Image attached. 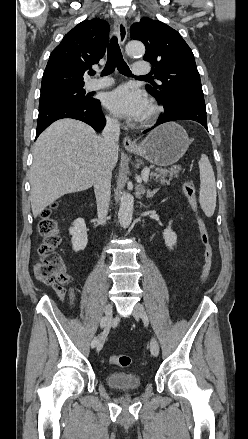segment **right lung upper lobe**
I'll return each mask as SVG.
<instances>
[{"label":"right lung upper lobe","mask_w":248,"mask_h":439,"mask_svg":"<svg viewBox=\"0 0 248 439\" xmlns=\"http://www.w3.org/2000/svg\"><path fill=\"white\" fill-rule=\"evenodd\" d=\"M109 25L94 18L69 31L50 54L45 68L41 96L84 86L83 75L104 56Z\"/></svg>","instance_id":"obj_1"}]
</instances>
